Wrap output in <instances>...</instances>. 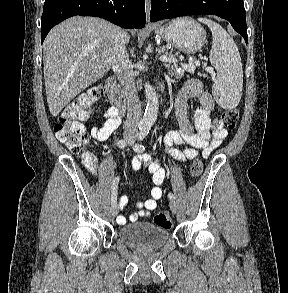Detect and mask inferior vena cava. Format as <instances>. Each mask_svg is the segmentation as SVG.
<instances>
[{
	"mask_svg": "<svg viewBox=\"0 0 288 293\" xmlns=\"http://www.w3.org/2000/svg\"><path fill=\"white\" fill-rule=\"evenodd\" d=\"M112 68L117 73V78L123 87L127 100V118L124 125V134L128 137H135L141 120V103L135 87L131 64L125 50V32L121 29L115 39Z\"/></svg>",
	"mask_w": 288,
	"mask_h": 293,
	"instance_id": "obj_1",
	"label": "inferior vena cava"
}]
</instances>
